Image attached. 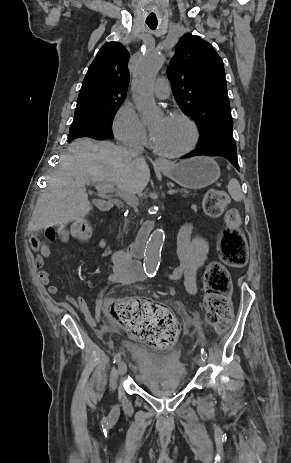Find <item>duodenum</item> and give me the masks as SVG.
<instances>
[{
    "mask_svg": "<svg viewBox=\"0 0 291 463\" xmlns=\"http://www.w3.org/2000/svg\"><path fill=\"white\" fill-rule=\"evenodd\" d=\"M98 204L102 209H105L107 212H110L113 209V206L110 203H107V202H105L103 200L99 201ZM153 226H154L153 222L147 221L140 228V230H139L136 238L133 240V242L126 248L127 252L130 255H132L134 258H141L143 256L146 240H147V238L149 236V233L152 230ZM143 271H144V269H143Z\"/></svg>",
    "mask_w": 291,
    "mask_h": 463,
    "instance_id": "obj_1",
    "label": "duodenum"
}]
</instances>
